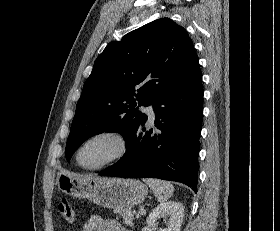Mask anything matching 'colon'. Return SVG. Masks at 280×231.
Here are the masks:
<instances>
[{"mask_svg": "<svg viewBox=\"0 0 280 231\" xmlns=\"http://www.w3.org/2000/svg\"><path fill=\"white\" fill-rule=\"evenodd\" d=\"M58 212L61 215V220H75L74 208L71 207L69 200L66 197H62L58 204Z\"/></svg>", "mask_w": 280, "mask_h": 231, "instance_id": "5ec220e1", "label": "colon"}]
</instances>
